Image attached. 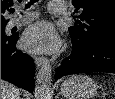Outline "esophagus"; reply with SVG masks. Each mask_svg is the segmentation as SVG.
I'll use <instances>...</instances> for the list:
<instances>
[{"instance_id": "obj_1", "label": "esophagus", "mask_w": 115, "mask_h": 99, "mask_svg": "<svg viewBox=\"0 0 115 99\" xmlns=\"http://www.w3.org/2000/svg\"><path fill=\"white\" fill-rule=\"evenodd\" d=\"M34 60H35V64L37 65V67H40L47 63L46 58L41 57V56H35Z\"/></svg>"}]
</instances>
